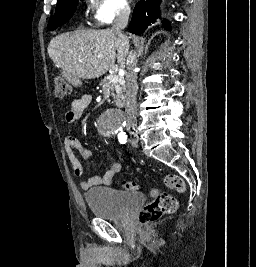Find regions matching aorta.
<instances>
[{
    "instance_id": "obj_1",
    "label": "aorta",
    "mask_w": 256,
    "mask_h": 267,
    "mask_svg": "<svg viewBox=\"0 0 256 267\" xmlns=\"http://www.w3.org/2000/svg\"><path fill=\"white\" fill-rule=\"evenodd\" d=\"M101 127H124L123 117H98ZM101 133H116V128H101Z\"/></svg>"
}]
</instances>
